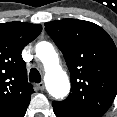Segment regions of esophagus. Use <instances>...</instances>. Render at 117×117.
<instances>
[{
    "label": "esophagus",
    "instance_id": "34e87169",
    "mask_svg": "<svg viewBox=\"0 0 117 117\" xmlns=\"http://www.w3.org/2000/svg\"><path fill=\"white\" fill-rule=\"evenodd\" d=\"M39 90L43 91L45 89V84L44 82H40L38 85Z\"/></svg>",
    "mask_w": 117,
    "mask_h": 117
}]
</instances>
